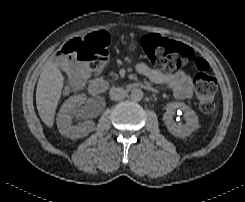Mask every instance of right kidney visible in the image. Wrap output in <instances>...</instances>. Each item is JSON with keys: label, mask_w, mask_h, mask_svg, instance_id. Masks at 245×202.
Returning a JSON list of instances; mask_svg holds the SVG:
<instances>
[{"label": "right kidney", "mask_w": 245, "mask_h": 202, "mask_svg": "<svg viewBox=\"0 0 245 202\" xmlns=\"http://www.w3.org/2000/svg\"><path fill=\"white\" fill-rule=\"evenodd\" d=\"M86 101L85 94L71 96L67 99L57 115V126L59 132L71 139H77L87 136L93 129L94 123L92 121H85L74 125L73 118H83V112L78 106L84 104Z\"/></svg>", "instance_id": "1"}]
</instances>
